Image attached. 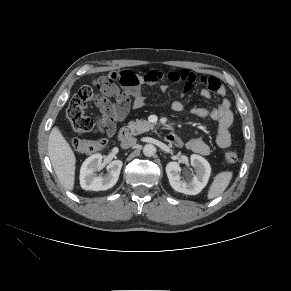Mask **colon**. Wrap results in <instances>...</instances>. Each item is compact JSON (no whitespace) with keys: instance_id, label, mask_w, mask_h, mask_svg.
Returning <instances> with one entry per match:
<instances>
[{"instance_id":"5ec220e1","label":"colon","mask_w":291,"mask_h":291,"mask_svg":"<svg viewBox=\"0 0 291 291\" xmlns=\"http://www.w3.org/2000/svg\"><path fill=\"white\" fill-rule=\"evenodd\" d=\"M110 86L111 82L109 79L106 77L100 78L93 86L84 85L73 95L67 109V117L76 134L85 135L96 132V122L86 114V108L93 102L100 110L106 104L105 92ZM70 145L78 153L89 154L102 149L105 145V140L72 138ZM223 160L228 164H233L237 162L238 155L233 150H227L223 155Z\"/></svg>"}]
</instances>
